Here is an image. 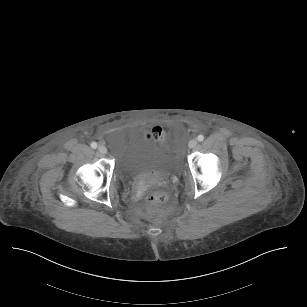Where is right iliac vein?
<instances>
[{"label": "right iliac vein", "mask_w": 307, "mask_h": 307, "mask_svg": "<svg viewBox=\"0 0 307 307\" xmlns=\"http://www.w3.org/2000/svg\"><path fill=\"white\" fill-rule=\"evenodd\" d=\"M98 151H99V153H101V154H107V148H106L105 146H103V145H100V146L98 147Z\"/></svg>", "instance_id": "1"}]
</instances>
